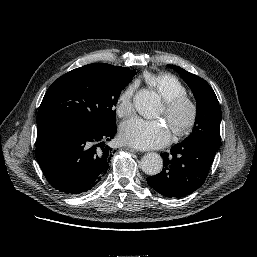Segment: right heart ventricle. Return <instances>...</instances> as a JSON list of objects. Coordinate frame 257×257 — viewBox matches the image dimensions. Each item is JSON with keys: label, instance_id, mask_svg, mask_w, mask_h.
<instances>
[{"label": "right heart ventricle", "instance_id": "e07e8e85", "mask_svg": "<svg viewBox=\"0 0 257 257\" xmlns=\"http://www.w3.org/2000/svg\"><path fill=\"white\" fill-rule=\"evenodd\" d=\"M143 77L145 82L164 100L185 95L187 92L183 83L170 73H145Z\"/></svg>", "mask_w": 257, "mask_h": 257}]
</instances>
